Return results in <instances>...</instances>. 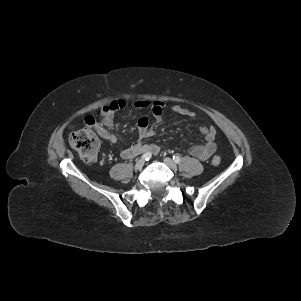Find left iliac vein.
Returning a JSON list of instances; mask_svg holds the SVG:
<instances>
[{
	"label": "left iliac vein",
	"instance_id": "obj_1",
	"mask_svg": "<svg viewBox=\"0 0 301 301\" xmlns=\"http://www.w3.org/2000/svg\"><path fill=\"white\" fill-rule=\"evenodd\" d=\"M164 163L171 168L172 170H176L177 169V165L175 164V162L171 159V158H164Z\"/></svg>",
	"mask_w": 301,
	"mask_h": 301
}]
</instances>
